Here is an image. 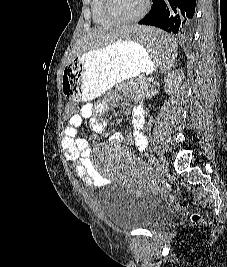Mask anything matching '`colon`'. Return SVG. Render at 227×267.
<instances>
[{
  "label": "colon",
  "instance_id": "obj_1",
  "mask_svg": "<svg viewBox=\"0 0 227 267\" xmlns=\"http://www.w3.org/2000/svg\"><path fill=\"white\" fill-rule=\"evenodd\" d=\"M78 105H66V114H64V119H71V116H77ZM168 187V186H167ZM170 188V186L168 187ZM193 220H200V214L194 213L192 215Z\"/></svg>",
  "mask_w": 227,
  "mask_h": 267
}]
</instances>
